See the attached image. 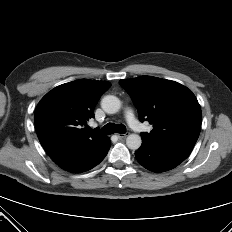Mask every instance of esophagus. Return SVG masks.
<instances>
[{
	"instance_id": "obj_1",
	"label": "esophagus",
	"mask_w": 232,
	"mask_h": 232,
	"mask_svg": "<svg viewBox=\"0 0 232 232\" xmlns=\"http://www.w3.org/2000/svg\"><path fill=\"white\" fill-rule=\"evenodd\" d=\"M116 135H117L118 138H126L129 135V133L128 132L124 133V134L119 133V134H116Z\"/></svg>"
}]
</instances>
